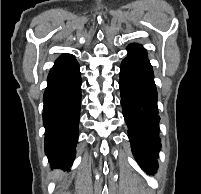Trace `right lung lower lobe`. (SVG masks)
<instances>
[{"label":"right lung lower lobe","instance_id":"98d812e1","mask_svg":"<svg viewBox=\"0 0 201 194\" xmlns=\"http://www.w3.org/2000/svg\"><path fill=\"white\" fill-rule=\"evenodd\" d=\"M47 82L43 96L45 153L52 168L69 170L78 140L82 83L74 56L57 59Z\"/></svg>","mask_w":201,"mask_h":194}]
</instances>
